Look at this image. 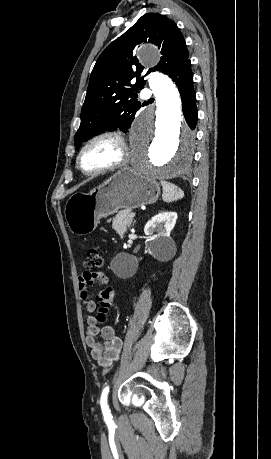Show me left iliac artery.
Masks as SVG:
<instances>
[{"label":"left iliac artery","instance_id":"44dca946","mask_svg":"<svg viewBox=\"0 0 271 459\" xmlns=\"http://www.w3.org/2000/svg\"><path fill=\"white\" fill-rule=\"evenodd\" d=\"M108 392H109V387L106 386L104 388L103 392H102L101 400H100L101 409H102L104 417H106V418H110L111 417L110 409H109V406L107 404Z\"/></svg>","mask_w":271,"mask_h":459}]
</instances>
